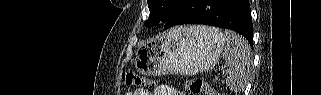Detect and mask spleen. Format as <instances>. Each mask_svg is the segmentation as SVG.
<instances>
[{
    "mask_svg": "<svg viewBox=\"0 0 321 95\" xmlns=\"http://www.w3.org/2000/svg\"><path fill=\"white\" fill-rule=\"evenodd\" d=\"M199 31L209 34H218L224 39L223 58L226 61V85L230 90L243 89L249 77L251 68V49L247 41L232 31L220 32L212 27H198Z\"/></svg>",
    "mask_w": 321,
    "mask_h": 95,
    "instance_id": "spleen-1",
    "label": "spleen"
}]
</instances>
